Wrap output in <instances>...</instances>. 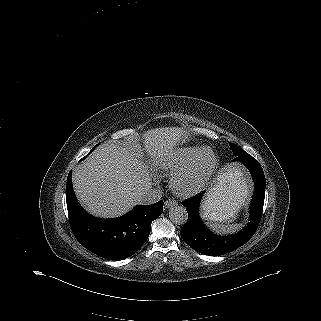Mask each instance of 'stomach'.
Returning a JSON list of instances; mask_svg holds the SVG:
<instances>
[{
  "instance_id": "0dacf381",
  "label": "stomach",
  "mask_w": 321,
  "mask_h": 321,
  "mask_svg": "<svg viewBox=\"0 0 321 321\" xmlns=\"http://www.w3.org/2000/svg\"><path fill=\"white\" fill-rule=\"evenodd\" d=\"M245 177V172L239 166H230L219 175L214 187L209 191L205 203L220 197L222 201L227 200L233 206L230 217L233 218L250 191Z\"/></svg>"
}]
</instances>
